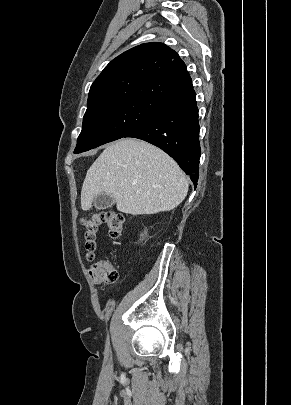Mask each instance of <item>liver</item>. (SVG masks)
<instances>
[{
    "instance_id": "1",
    "label": "liver",
    "mask_w": 291,
    "mask_h": 405,
    "mask_svg": "<svg viewBox=\"0 0 291 405\" xmlns=\"http://www.w3.org/2000/svg\"><path fill=\"white\" fill-rule=\"evenodd\" d=\"M188 180L178 164L161 149L134 138L105 148L88 169L81 190V208H91L105 193L126 214H156L176 208L186 197Z\"/></svg>"
}]
</instances>
